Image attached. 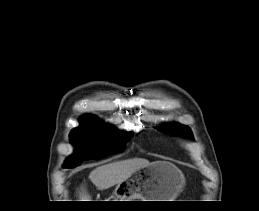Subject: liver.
Segmentation results:
<instances>
[{
  "instance_id": "liver-1",
  "label": "liver",
  "mask_w": 259,
  "mask_h": 211,
  "mask_svg": "<svg viewBox=\"0 0 259 211\" xmlns=\"http://www.w3.org/2000/svg\"><path fill=\"white\" fill-rule=\"evenodd\" d=\"M150 165L143 158H132L98 166L89 174L91 182L101 190L108 189L129 178L137 170ZM80 201H91L85 186L79 192Z\"/></svg>"
}]
</instances>
